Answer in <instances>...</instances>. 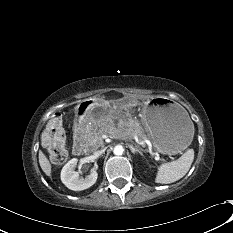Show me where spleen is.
Segmentation results:
<instances>
[{"label": "spleen", "instance_id": "3e777b00", "mask_svg": "<svg viewBox=\"0 0 233 233\" xmlns=\"http://www.w3.org/2000/svg\"><path fill=\"white\" fill-rule=\"evenodd\" d=\"M194 159V150L188 149L179 159L163 163L158 169L156 183L169 184L178 181L189 171Z\"/></svg>", "mask_w": 233, "mask_h": 233}]
</instances>
